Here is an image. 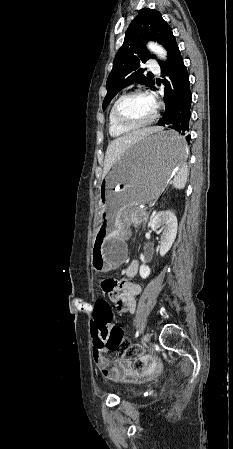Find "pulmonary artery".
<instances>
[{"instance_id":"obj_1","label":"pulmonary artery","mask_w":233,"mask_h":449,"mask_svg":"<svg viewBox=\"0 0 233 449\" xmlns=\"http://www.w3.org/2000/svg\"><path fill=\"white\" fill-rule=\"evenodd\" d=\"M149 69L153 72H159V66L154 62L150 63Z\"/></svg>"}]
</instances>
